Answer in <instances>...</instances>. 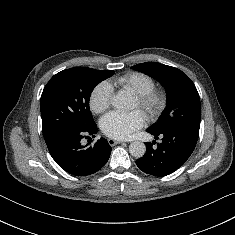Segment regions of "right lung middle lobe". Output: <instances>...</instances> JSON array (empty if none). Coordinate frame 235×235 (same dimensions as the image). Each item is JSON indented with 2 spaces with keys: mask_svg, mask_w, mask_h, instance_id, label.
<instances>
[{
  "mask_svg": "<svg viewBox=\"0 0 235 235\" xmlns=\"http://www.w3.org/2000/svg\"><path fill=\"white\" fill-rule=\"evenodd\" d=\"M114 71L75 67L54 75L41 95L42 130L45 141L64 128H88L95 122L89 110L94 87Z\"/></svg>",
  "mask_w": 235,
  "mask_h": 235,
  "instance_id": "1",
  "label": "right lung middle lobe"
}]
</instances>
